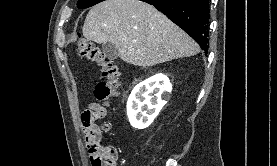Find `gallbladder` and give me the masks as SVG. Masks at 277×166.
<instances>
[{
    "mask_svg": "<svg viewBox=\"0 0 277 166\" xmlns=\"http://www.w3.org/2000/svg\"><path fill=\"white\" fill-rule=\"evenodd\" d=\"M103 54L109 60H115L118 57V51L116 46L111 42H106L102 44Z\"/></svg>",
    "mask_w": 277,
    "mask_h": 166,
    "instance_id": "obj_1",
    "label": "gallbladder"
}]
</instances>
